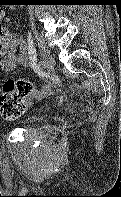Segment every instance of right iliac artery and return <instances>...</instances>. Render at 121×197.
<instances>
[{"label":"right iliac artery","instance_id":"82829eb1","mask_svg":"<svg viewBox=\"0 0 121 197\" xmlns=\"http://www.w3.org/2000/svg\"><path fill=\"white\" fill-rule=\"evenodd\" d=\"M43 67H44V62L43 61H39L38 68L42 69Z\"/></svg>","mask_w":121,"mask_h":197}]
</instances>
